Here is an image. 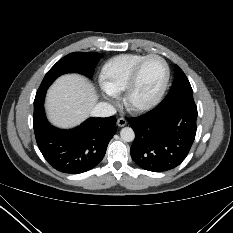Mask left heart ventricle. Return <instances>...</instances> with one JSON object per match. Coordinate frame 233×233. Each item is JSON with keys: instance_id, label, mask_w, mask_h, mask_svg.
<instances>
[{"instance_id": "1", "label": "left heart ventricle", "mask_w": 233, "mask_h": 233, "mask_svg": "<svg viewBox=\"0 0 233 233\" xmlns=\"http://www.w3.org/2000/svg\"><path fill=\"white\" fill-rule=\"evenodd\" d=\"M165 78V67L156 58L149 59L143 65L134 98L136 101L144 102L151 99L160 89Z\"/></svg>"}]
</instances>
